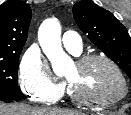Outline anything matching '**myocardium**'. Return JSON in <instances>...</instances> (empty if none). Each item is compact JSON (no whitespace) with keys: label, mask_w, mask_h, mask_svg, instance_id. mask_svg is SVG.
I'll return each mask as SVG.
<instances>
[{"label":"myocardium","mask_w":131,"mask_h":115,"mask_svg":"<svg viewBox=\"0 0 131 115\" xmlns=\"http://www.w3.org/2000/svg\"><path fill=\"white\" fill-rule=\"evenodd\" d=\"M94 61L104 62L115 71V73L117 74L121 82V92L117 96L111 97V98H96L89 95L77 93L69 84V88H68L69 98L77 104L94 105V106H101V107L112 106L124 100L128 94L127 80L121 68L111 58L102 54H88V55L78 57L75 61V65L78 68H83L84 66Z\"/></svg>","instance_id":"obj_1"}]
</instances>
